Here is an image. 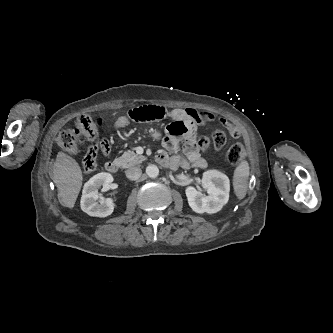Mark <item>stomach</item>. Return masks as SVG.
Here are the masks:
<instances>
[{
    "label": "stomach",
    "instance_id": "0dacf381",
    "mask_svg": "<svg viewBox=\"0 0 333 333\" xmlns=\"http://www.w3.org/2000/svg\"><path fill=\"white\" fill-rule=\"evenodd\" d=\"M153 136H154L155 138H160L161 134H160L159 132H154V133H153Z\"/></svg>",
    "mask_w": 333,
    "mask_h": 333
}]
</instances>
